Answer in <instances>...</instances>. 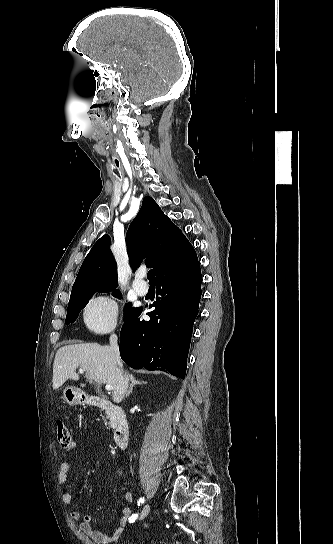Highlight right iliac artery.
Listing matches in <instances>:
<instances>
[{
	"label": "right iliac artery",
	"instance_id": "right-iliac-artery-1",
	"mask_svg": "<svg viewBox=\"0 0 333 544\" xmlns=\"http://www.w3.org/2000/svg\"><path fill=\"white\" fill-rule=\"evenodd\" d=\"M144 501H145L144 498H140V499L138 500V505L140 506V504H143ZM137 517H138V514H134V515L130 518L129 522H130V523L134 522V521L136 520Z\"/></svg>",
	"mask_w": 333,
	"mask_h": 544
}]
</instances>
